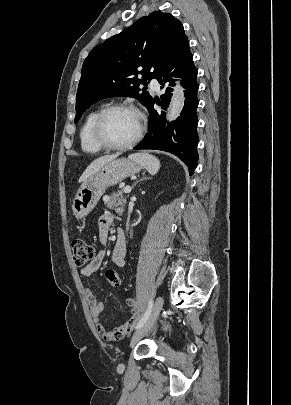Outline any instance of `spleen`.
<instances>
[{
    "mask_svg": "<svg viewBox=\"0 0 291 405\" xmlns=\"http://www.w3.org/2000/svg\"><path fill=\"white\" fill-rule=\"evenodd\" d=\"M130 158L139 163L141 166L146 168V170L151 174L155 175L159 168L160 162L158 158L148 153H136L130 155Z\"/></svg>",
    "mask_w": 291,
    "mask_h": 405,
    "instance_id": "3e777b00",
    "label": "spleen"
}]
</instances>
